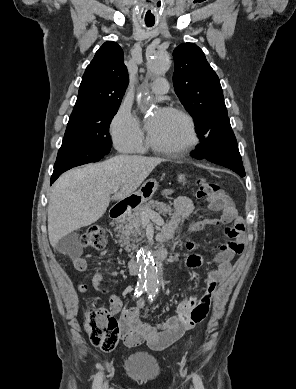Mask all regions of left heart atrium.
<instances>
[{
	"label": "left heart atrium",
	"instance_id": "obj_1",
	"mask_svg": "<svg viewBox=\"0 0 296 389\" xmlns=\"http://www.w3.org/2000/svg\"><path fill=\"white\" fill-rule=\"evenodd\" d=\"M164 110H159L156 112V114L154 115V117L150 118L148 121H147V129L149 130V132L155 127L160 115L162 114Z\"/></svg>",
	"mask_w": 296,
	"mask_h": 389
}]
</instances>
